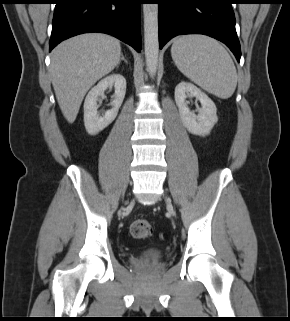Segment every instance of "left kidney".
<instances>
[{
	"instance_id": "left-kidney-1",
	"label": "left kidney",
	"mask_w": 290,
	"mask_h": 321,
	"mask_svg": "<svg viewBox=\"0 0 290 321\" xmlns=\"http://www.w3.org/2000/svg\"><path fill=\"white\" fill-rule=\"evenodd\" d=\"M195 97L201 103L198 115L191 112L186 103L187 97ZM175 102L178 106L183 125L194 134L208 135L218 121L214 102L200 89L188 82H181L175 88Z\"/></svg>"
}]
</instances>
